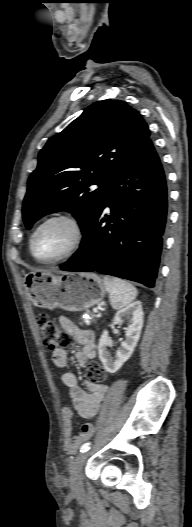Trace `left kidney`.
I'll return each mask as SVG.
<instances>
[{
  "label": "left kidney",
  "instance_id": "obj_1",
  "mask_svg": "<svg viewBox=\"0 0 192 527\" xmlns=\"http://www.w3.org/2000/svg\"><path fill=\"white\" fill-rule=\"evenodd\" d=\"M128 316L132 317V323L125 331L126 339L121 343L119 350L116 352L115 358L111 357L107 350V347L110 345L108 331H103L99 339V359L101 360L104 369L109 373H115L122 367V365L131 357L139 341L144 317L141 302L136 301L118 311L115 314L112 323L119 324L124 317Z\"/></svg>",
  "mask_w": 192,
  "mask_h": 527
}]
</instances>
